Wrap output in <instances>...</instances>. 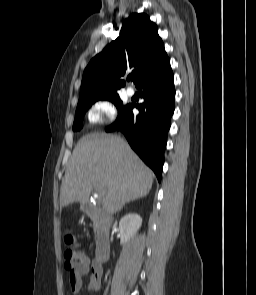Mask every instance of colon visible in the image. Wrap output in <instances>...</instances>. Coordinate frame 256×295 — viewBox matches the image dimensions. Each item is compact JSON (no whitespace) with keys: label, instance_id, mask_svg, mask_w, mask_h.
I'll use <instances>...</instances> for the list:
<instances>
[{"label":"colon","instance_id":"obj_1","mask_svg":"<svg viewBox=\"0 0 256 295\" xmlns=\"http://www.w3.org/2000/svg\"><path fill=\"white\" fill-rule=\"evenodd\" d=\"M65 242L69 246L64 252L65 268L68 271H74L85 263L86 258L82 252L73 247L76 239L71 233L66 234Z\"/></svg>","mask_w":256,"mask_h":295}]
</instances>
